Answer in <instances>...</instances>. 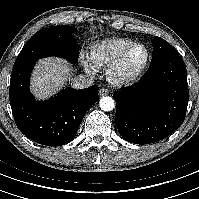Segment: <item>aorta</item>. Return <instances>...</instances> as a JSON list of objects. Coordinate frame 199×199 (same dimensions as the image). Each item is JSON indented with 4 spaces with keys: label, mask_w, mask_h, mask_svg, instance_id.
<instances>
[{
    "label": "aorta",
    "mask_w": 199,
    "mask_h": 199,
    "mask_svg": "<svg viewBox=\"0 0 199 199\" xmlns=\"http://www.w3.org/2000/svg\"><path fill=\"white\" fill-rule=\"evenodd\" d=\"M99 106L103 111H111L115 107V101L112 97L105 96L100 99Z\"/></svg>",
    "instance_id": "762f6f07"
}]
</instances>
